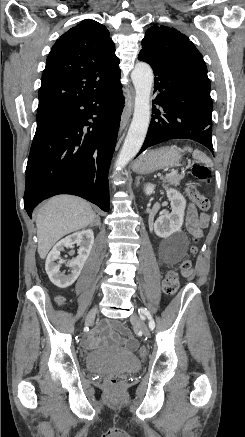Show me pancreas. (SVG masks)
I'll return each mask as SVG.
<instances>
[{
  "instance_id": "cf45deb5",
  "label": "pancreas",
  "mask_w": 245,
  "mask_h": 437,
  "mask_svg": "<svg viewBox=\"0 0 245 437\" xmlns=\"http://www.w3.org/2000/svg\"><path fill=\"white\" fill-rule=\"evenodd\" d=\"M183 178H184L183 174H174V175L167 176L164 179V182H167V183H169L170 185H173V186H177V185L180 184V181Z\"/></svg>"
}]
</instances>
